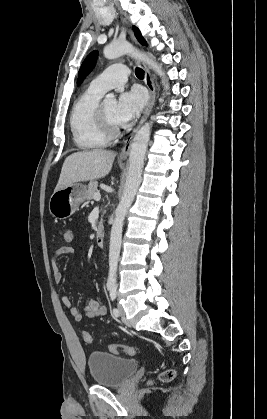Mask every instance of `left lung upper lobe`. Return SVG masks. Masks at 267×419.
Wrapping results in <instances>:
<instances>
[{"mask_svg": "<svg viewBox=\"0 0 267 419\" xmlns=\"http://www.w3.org/2000/svg\"><path fill=\"white\" fill-rule=\"evenodd\" d=\"M133 30L135 33L136 38L138 39V41L142 44V45H146V41L144 40V38L142 37L139 29L135 26H133ZM97 52L93 51L91 52L87 58L84 60L80 70H79V79H78V83H81L82 78L85 77L86 74H88L92 68L95 65L96 59H97Z\"/></svg>", "mask_w": 267, "mask_h": 419, "instance_id": "left-lung-upper-lobe-1", "label": "left lung upper lobe"}]
</instances>
